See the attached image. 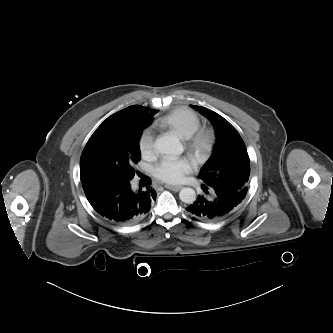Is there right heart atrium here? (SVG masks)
Here are the masks:
<instances>
[{
    "label": "right heart atrium",
    "instance_id": "d8ad5b80",
    "mask_svg": "<svg viewBox=\"0 0 333 333\" xmlns=\"http://www.w3.org/2000/svg\"><path fill=\"white\" fill-rule=\"evenodd\" d=\"M139 150L144 158H150L155 153L154 137L151 132L146 131L139 140Z\"/></svg>",
    "mask_w": 333,
    "mask_h": 333
}]
</instances>
